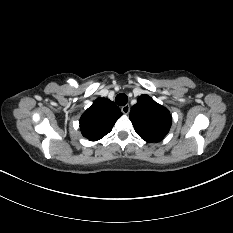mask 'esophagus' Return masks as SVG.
Wrapping results in <instances>:
<instances>
[{
    "label": "esophagus",
    "mask_w": 233,
    "mask_h": 233,
    "mask_svg": "<svg viewBox=\"0 0 233 233\" xmlns=\"http://www.w3.org/2000/svg\"><path fill=\"white\" fill-rule=\"evenodd\" d=\"M121 111L124 113V114H129L130 112V106L128 104L124 105L122 108H121Z\"/></svg>",
    "instance_id": "esophagus-1"
}]
</instances>
